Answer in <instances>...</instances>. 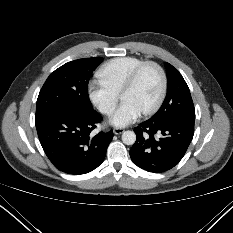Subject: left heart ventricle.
Instances as JSON below:
<instances>
[{
  "label": "left heart ventricle",
  "mask_w": 233,
  "mask_h": 233,
  "mask_svg": "<svg viewBox=\"0 0 233 233\" xmlns=\"http://www.w3.org/2000/svg\"><path fill=\"white\" fill-rule=\"evenodd\" d=\"M161 89V78L154 67H148L141 74L137 84L123 92V101H130L141 109L142 112L154 105Z\"/></svg>",
  "instance_id": "left-heart-ventricle-1"
}]
</instances>
